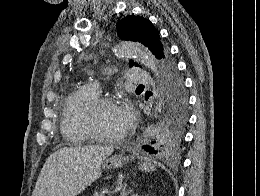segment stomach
<instances>
[{
    "label": "stomach",
    "mask_w": 260,
    "mask_h": 196,
    "mask_svg": "<svg viewBox=\"0 0 260 196\" xmlns=\"http://www.w3.org/2000/svg\"><path fill=\"white\" fill-rule=\"evenodd\" d=\"M126 150H121L119 156H112V158H107L102 164L104 170H112V168H122L126 162H131L133 156H126Z\"/></svg>",
    "instance_id": "0dacf381"
}]
</instances>
